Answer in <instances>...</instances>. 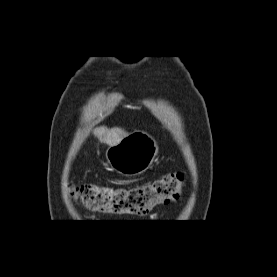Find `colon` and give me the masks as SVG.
I'll use <instances>...</instances> for the list:
<instances>
[{"label":"colon","instance_id":"1","mask_svg":"<svg viewBox=\"0 0 277 277\" xmlns=\"http://www.w3.org/2000/svg\"><path fill=\"white\" fill-rule=\"evenodd\" d=\"M184 175L166 174L159 179L130 188H115L93 184L73 185L70 194L87 209L113 214L144 215L158 205L177 200Z\"/></svg>","mask_w":277,"mask_h":277}]
</instances>
